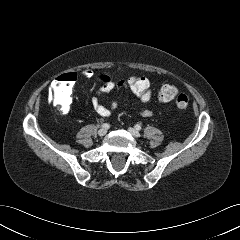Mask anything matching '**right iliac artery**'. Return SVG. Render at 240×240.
<instances>
[{
  "mask_svg": "<svg viewBox=\"0 0 240 240\" xmlns=\"http://www.w3.org/2000/svg\"><path fill=\"white\" fill-rule=\"evenodd\" d=\"M102 127L108 129V128L110 127V125H109L108 123H104V124L102 125Z\"/></svg>",
  "mask_w": 240,
  "mask_h": 240,
  "instance_id": "obj_1",
  "label": "right iliac artery"
}]
</instances>
